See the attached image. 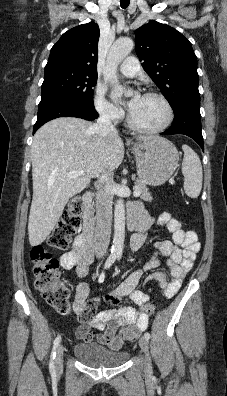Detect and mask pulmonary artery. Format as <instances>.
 <instances>
[{"label":"pulmonary artery","instance_id":"e3ab8cb5","mask_svg":"<svg viewBox=\"0 0 227 396\" xmlns=\"http://www.w3.org/2000/svg\"><path fill=\"white\" fill-rule=\"evenodd\" d=\"M139 69L140 65L137 58L130 56L127 57L120 65L119 71L125 76L133 77L137 74Z\"/></svg>","mask_w":227,"mask_h":396}]
</instances>
